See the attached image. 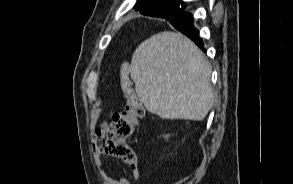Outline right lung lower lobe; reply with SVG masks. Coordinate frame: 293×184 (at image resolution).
<instances>
[{
    "instance_id": "1",
    "label": "right lung lower lobe",
    "mask_w": 293,
    "mask_h": 184,
    "mask_svg": "<svg viewBox=\"0 0 293 184\" xmlns=\"http://www.w3.org/2000/svg\"><path fill=\"white\" fill-rule=\"evenodd\" d=\"M166 20H168L177 30L193 40L195 44H197L205 52L203 42L199 38V32L193 26L192 16L190 13L181 10Z\"/></svg>"
}]
</instances>
